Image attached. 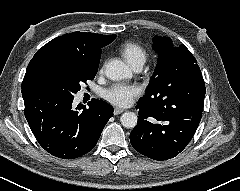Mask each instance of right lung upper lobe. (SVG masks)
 I'll return each mask as SVG.
<instances>
[{"label":"right lung upper lobe","mask_w":240,"mask_h":191,"mask_svg":"<svg viewBox=\"0 0 240 191\" xmlns=\"http://www.w3.org/2000/svg\"><path fill=\"white\" fill-rule=\"evenodd\" d=\"M116 35L73 32L59 36L44 45L31 59L22 82V93L33 73L47 63L76 67H98L101 48L114 41Z\"/></svg>","instance_id":"cb5924a9"}]
</instances>
